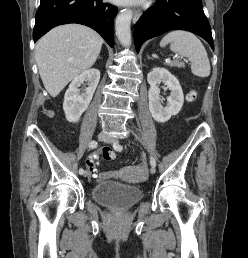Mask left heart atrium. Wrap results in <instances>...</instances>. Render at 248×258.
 <instances>
[{"label":"left heart atrium","instance_id":"1","mask_svg":"<svg viewBox=\"0 0 248 258\" xmlns=\"http://www.w3.org/2000/svg\"><path fill=\"white\" fill-rule=\"evenodd\" d=\"M113 1L118 4H134V3L140 2L141 0H113Z\"/></svg>","mask_w":248,"mask_h":258}]
</instances>
